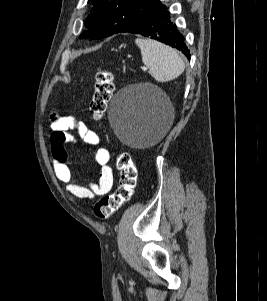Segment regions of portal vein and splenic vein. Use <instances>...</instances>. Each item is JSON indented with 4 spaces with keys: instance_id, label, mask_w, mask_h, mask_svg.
<instances>
[{
    "instance_id": "obj_1",
    "label": "portal vein and splenic vein",
    "mask_w": 267,
    "mask_h": 301,
    "mask_svg": "<svg viewBox=\"0 0 267 301\" xmlns=\"http://www.w3.org/2000/svg\"><path fill=\"white\" fill-rule=\"evenodd\" d=\"M142 70H143V71H146V70H147V67L143 66V67H142Z\"/></svg>"
}]
</instances>
